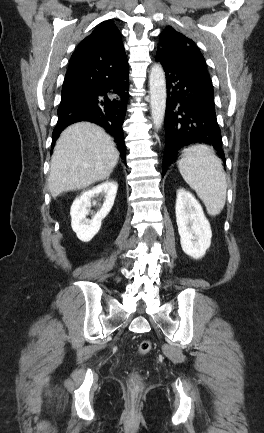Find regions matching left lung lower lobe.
<instances>
[{
    "label": "left lung lower lobe",
    "instance_id": "left-lung-lower-lobe-1",
    "mask_svg": "<svg viewBox=\"0 0 264 433\" xmlns=\"http://www.w3.org/2000/svg\"><path fill=\"white\" fill-rule=\"evenodd\" d=\"M156 61L163 65L167 82L162 176L178 151L193 143L212 145L226 162L209 74L182 70L157 56Z\"/></svg>",
    "mask_w": 264,
    "mask_h": 433
}]
</instances>
